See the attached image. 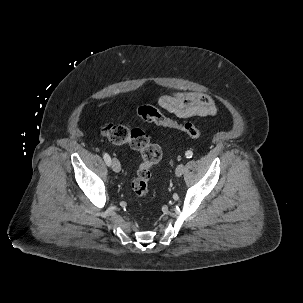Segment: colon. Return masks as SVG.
Segmentation results:
<instances>
[{
	"instance_id": "obj_1",
	"label": "colon",
	"mask_w": 303,
	"mask_h": 303,
	"mask_svg": "<svg viewBox=\"0 0 303 303\" xmlns=\"http://www.w3.org/2000/svg\"><path fill=\"white\" fill-rule=\"evenodd\" d=\"M138 116L150 123L179 130L193 139L201 137V130L192 122H179L163 115L152 105H141L137 109ZM102 135L115 144L128 143L139 151L142 157L137 175L132 181V189L136 196L144 198L149 192V181L152 167L162 158V149L158 144L151 143L149 136L141 129H129L115 123H105L101 127Z\"/></svg>"
}]
</instances>
